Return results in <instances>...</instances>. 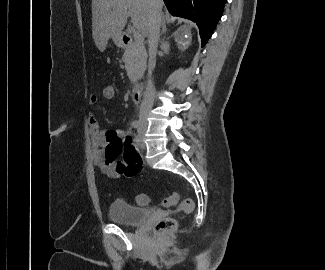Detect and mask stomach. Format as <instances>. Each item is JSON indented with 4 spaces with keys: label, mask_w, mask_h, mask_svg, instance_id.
Listing matches in <instances>:
<instances>
[{
    "label": "stomach",
    "mask_w": 325,
    "mask_h": 270,
    "mask_svg": "<svg viewBox=\"0 0 325 270\" xmlns=\"http://www.w3.org/2000/svg\"><path fill=\"white\" fill-rule=\"evenodd\" d=\"M113 41L118 47H123L122 34L115 35Z\"/></svg>",
    "instance_id": "0dacf381"
}]
</instances>
